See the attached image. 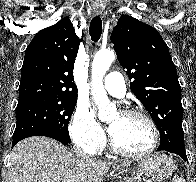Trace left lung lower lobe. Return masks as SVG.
I'll use <instances>...</instances> for the list:
<instances>
[{"label":"left lung lower lobe","instance_id":"left-lung-lower-lobe-1","mask_svg":"<svg viewBox=\"0 0 196 182\" xmlns=\"http://www.w3.org/2000/svg\"><path fill=\"white\" fill-rule=\"evenodd\" d=\"M157 151H167V152L175 153V154L179 155L184 161L188 162L185 148H168V149L158 148Z\"/></svg>","mask_w":196,"mask_h":182}]
</instances>
